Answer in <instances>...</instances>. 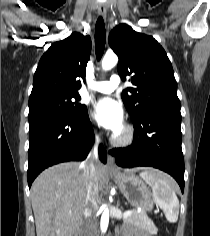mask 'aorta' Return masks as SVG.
<instances>
[{
	"instance_id": "obj_1",
	"label": "aorta",
	"mask_w": 210,
	"mask_h": 236,
	"mask_svg": "<svg viewBox=\"0 0 210 236\" xmlns=\"http://www.w3.org/2000/svg\"><path fill=\"white\" fill-rule=\"evenodd\" d=\"M118 63V57L115 53H106L102 60V69L108 71L112 69ZM109 223V209L105 206V209L101 216V229L106 231Z\"/></svg>"
}]
</instances>
